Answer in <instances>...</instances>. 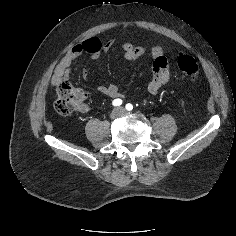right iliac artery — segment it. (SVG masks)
Here are the masks:
<instances>
[{
  "label": "right iliac artery",
  "instance_id": "1",
  "mask_svg": "<svg viewBox=\"0 0 236 236\" xmlns=\"http://www.w3.org/2000/svg\"><path fill=\"white\" fill-rule=\"evenodd\" d=\"M122 102L123 101L121 99H115L113 100L112 105L117 107V106H120Z\"/></svg>",
  "mask_w": 236,
  "mask_h": 236
}]
</instances>
